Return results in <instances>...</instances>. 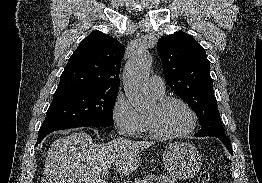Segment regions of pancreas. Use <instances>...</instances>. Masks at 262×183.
Listing matches in <instances>:
<instances>
[{
    "label": "pancreas",
    "instance_id": "obj_1",
    "mask_svg": "<svg viewBox=\"0 0 262 183\" xmlns=\"http://www.w3.org/2000/svg\"><path fill=\"white\" fill-rule=\"evenodd\" d=\"M140 183H176V179L168 175H148Z\"/></svg>",
    "mask_w": 262,
    "mask_h": 183
}]
</instances>
